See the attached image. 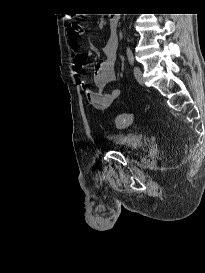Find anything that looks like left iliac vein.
I'll list each match as a JSON object with an SVG mask.
<instances>
[{
  "label": "left iliac vein",
  "mask_w": 205,
  "mask_h": 273,
  "mask_svg": "<svg viewBox=\"0 0 205 273\" xmlns=\"http://www.w3.org/2000/svg\"><path fill=\"white\" fill-rule=\"evenodd\" d=\"M134 76L139 84H141V85L144 84L145 80L143 77V73H142L141 69L137 66L134 67Z\"/></svg>",
  "instance_id": "left-iliac-vein-1"
}]
</instances>
